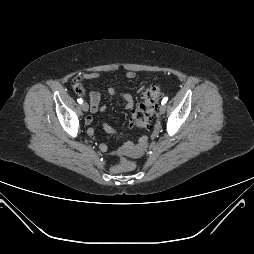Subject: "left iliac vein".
I'll use <instances>...</instances> for the list:
<instances>
[{
	"mask_svg": "<svg viewBox=\"0 0 254 254\" xmlns=\"http://www.w3.org/2000/svg\"><path fill=\"white\" fill-rule=\"evenodd\" d=\"M159 111L161 114H164L165 111H166V106L165 105H161L160 108H159Z\"/></svg>",
	"mask_w": 254,
	"mask_h": 254,
	"instance_id": "obj_1",
	"label": "left iliac vein"
}]
</instances>
